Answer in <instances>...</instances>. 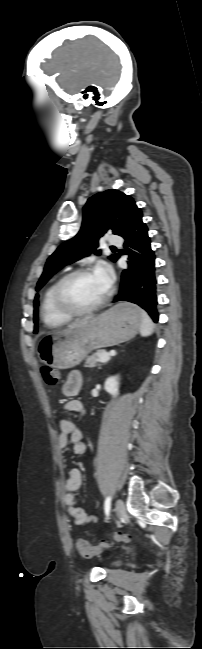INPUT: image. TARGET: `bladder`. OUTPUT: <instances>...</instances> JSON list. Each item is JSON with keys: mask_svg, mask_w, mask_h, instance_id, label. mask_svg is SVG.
<instances>
[{"mask_svg": "<svg viewBox=\"0 0 202 649\" xmlns=\"http://www.w3.org/2000/svg\"><path fill=\"white\" fill-rule=\"evenodd\" d=\"M119 565H121V562H120V561H114V562L112 563V566H119Z\"/></svg>", "mask_w": 202, "mask_h": 649, "instance_id": "1", "label": "bladder"}]
</instances>
